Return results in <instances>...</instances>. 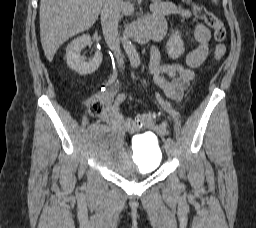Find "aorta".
Here are the masks:
<instances>
[{"label": "aorta", "instance_id": "aorta-1", "mask_svg": "<svg viewBox=\"0 0 256 228\" xmlns=\"http://www.w3.org/2000/svg\"><path fill=\"white\" fill-rule=\"evenodd\" d=\"M123 48L130 60L131 65L137 66L140 64V57L136 51L135 46L132 44V42L128 39L127 36L123 35L121 38Z\"/></svg>", "mask_w": 256, "mask_h": 228}]
</instances>
